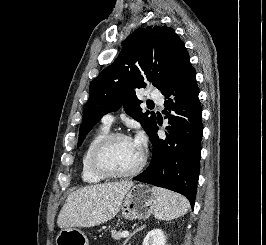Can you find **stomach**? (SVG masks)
I'll return each instance as SVG.
<instances>
[{
    "instance_id": "0dacf381",
    "label": "stomach",
    "mask_w": 266,
    "mask_h": 245,
    "mask_svg": "<svg viewBox=\"0 0 266 245\" xmlns=\"http://www.w3.org/2000/svg\"><path fill=\"white\" fill-rule=\"evenodd\" d=\"M157 199L148 185H135L131 191L126 193L121 201V217L135 221V219H148L155 211ZM57 245H89V241L80 229L67 227L60 231Z\"/></svg>"
}]
</instances>
